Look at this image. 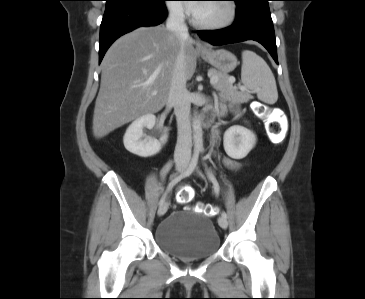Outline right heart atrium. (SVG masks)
<instances>
[{"mask_svg":"<svg viewBox=\"0 0 365 299\" xmlns=\"http://www.w3.org/2000/svg\"><path fill=\"white\" fill-rule=\"evenodd\" d=\"M167 10L176 19H184L187 15V10L180 0H169Z\"/></svg>","mask_w":365,"mask_h":299,"instance_id":"obj_1","label":"right heart atrium"}]
</instances>
